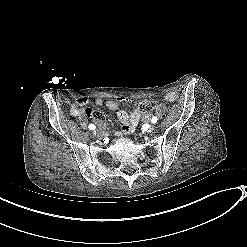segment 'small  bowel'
Here are the masks:
<instances>
[{
    "label": "small bowel",
    "mask_w": 247,
    "mask_h": 247,
    "mask_svg": "<svg viewBox=\"0 0 247 247\" xmlns=\"http://www.w3.org/2000/svg\"><path fill=\"white\" fill-rule=\"evenodd\" d=\"M178 95L175 92H170L165 95V100L169 102H174L177 99ZM130 100L127 97L119 96L113 100H107L103 101L100 98H97L94 100V104L96 106H105L109 110L116 111V116L119 122L121 123V130L116 132L117 138H122L125 135L132 134L140 120H143L145 122H148L152 118L151 113H146L141 116L140 111L138 109L133 110L130 114H128L126 111L120 109L119 104L121 102H129ZM89 103V98L86 96H82L80 98H77L74 102V104L70 108V114L72 116H88L95 119L96 122L101 123L105 119V115L102 112H94L90 109H82L80 106L86 105ZM163 112L162 108H158L157 114L161 115Z\"/></svg>",
    "instance_id": "small-bowel-1"
}]
</instances>
